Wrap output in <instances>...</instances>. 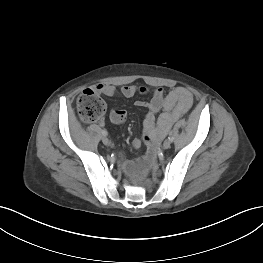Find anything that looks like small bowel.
<instances>
[{
    "label": "small bowel",
    "instance_id": "obj_1",
    "mask_svg": "<svg viewBox=\"0 0 263 263\" xmlns=\"http://www.w3.org/2000/svg\"><path fill=\"white\" fill-rule=\"evenodd\" d=\"M94 90L108 97L117 94V89L109 84H98ZM137 93L147 94L149 90L144 86L136 85H126L120 90V94L126 98H131ZM192 103L193 96L184 87L173 88L167 93L162 88H156L152 91L150 101H137L136 105L147 108L148 113L143 123L142 138L134 139L133 147L140 148L143 142L153 143L161 139L172 124L191 108ZM126 118L127 112L123 109H114L110 113V120L114 124H122ZM123 168L127 173L133 174L138 170V164L134 161L124 160Z\"/></svg>",
    "mask_w": 263,
    "mask_h": 263
}]
</instances>
